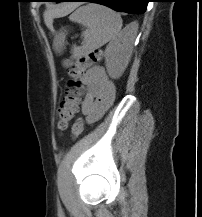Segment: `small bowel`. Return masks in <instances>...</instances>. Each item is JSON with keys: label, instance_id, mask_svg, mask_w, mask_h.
Returning a JSON list of instances; mask_svg holds the SVG:
<instances>
[{"label": "small bowel", "instance_id": "obj_1", "mask_svg": "<svg viewBox=\"0 0 202 217\" xmlns=\"http://www.w3.org/2000/svg\"><path fill=\"white\" fill-rule=\"evenodd\" d=\"M81 109L89 122L98 120L111 106L115 85L102 66L89 68L81 78Z\"/></svg>", "mask_w": 202, "mask_h": 217}]
</instances>
